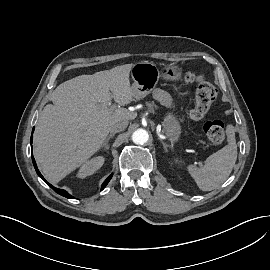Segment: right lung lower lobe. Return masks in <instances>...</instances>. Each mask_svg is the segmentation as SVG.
<instances>
[{"mask_svg":"<svg viewBox=\"0 0 270 270\" xmlns=\"http://www.w3.org/2000/svg\"><path fill=\"white\" fill-rule=\"evenodd\" d=\"M33 131H34V129H33ZM32 131V132H33ZM32 141H33V135L31 136V143H32ZM32 162H33V165H34V167H35V170H36V172H37V174L39 175V177L43 180V181H45L46 182V180L44 179V177L41 175V173L39 172V170H38V168H37V165H36V162H35V159H34V157H33V155H32ZM111 177H112V174L104 181V183L102 184V187H101V190H103L104 188H105V186L108 184V182L110 181V179H111ZM56 193H58V194H60V195H62V196H64V197H67V198H70V199H73L74 197L73 196H71L68 192H66L65 190H63V189H58V188H56V187H54V186H52L51 184H49L48 182H46Z\"/></svg>","mask_w":270,"mask_h":270,"instance_id":"right-lung-lower-lobe-1","label":"right lung lower lobe"}]
</instances>
